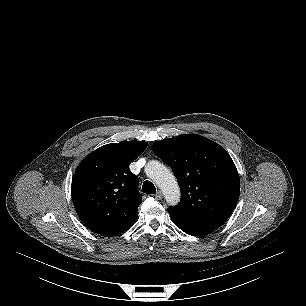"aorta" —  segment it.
Returning a JSON list of instances; mask_svg holds the SVG:
<instances>
[{
    "mask_svg": "<svg viewBox=\"0 0 306 306\" xmlns=\"http://www.w3.org/2000/svg\"><path fill=\"white\" fill-rule=\"evenodd\" d=\"M146 175L162 190L168 204L180 201V188L173 173L162 163L150 161L145 167Z\"/></svg>",
    "mask_w": 306,
    "mask_h": 306,
    "instance_id": "obj_1",
    "label": "aorta"
}]
</instances>
